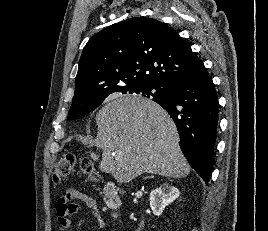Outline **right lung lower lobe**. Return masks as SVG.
Instances as JSON below:
<instances>
[{
	"mask_svg": "<svg viewBox=\"0 0 268 231\" xmlns=\"http://www.w3.org/2000/svg\"><path fill=\"white\" fill-rule=\"evenodd\" d=\"M163 88L164 96L153 100L175 122L183 154L207 184L213 169L218 125V96L213 81L203 66L196 74Z\"/></svg>",
	"mask_w": 268,
	"mask_h": 231,
	"instance_id": "1",
	"label": "right lung lower lobe"
}]
</instances>
